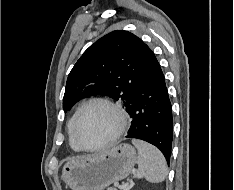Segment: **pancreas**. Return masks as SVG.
<instances>
[{
	"label": "pancreas",
	"mask_w": 234,
	"mask_h": 190,
	"mask_svg": "<svg viewBox=\"0 0 234 190\" xmlns=\"http://www.w3.org/2000/svg\"><path fill=\"white\" fill-rule=\"evenodd\" d=\"M107 190H116V188L110 187V188H108Z\"/></svg>",
	"instance_id": "obj_1"
}]
</instances>
